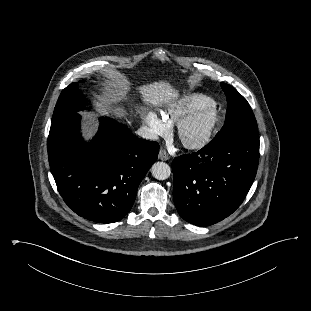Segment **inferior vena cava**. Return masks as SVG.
I'll use <instances>...</instances> for the list:
<instances>
[{
    "instance_id": "inferior-vena-cava-1",
    "label": "inferior vena cava",
    "mask_w": 311,
    "mask_h": 311,
    "mask_svg": "<svg viewBox=\"0 0 311 311\" xmlns=\"http://www.w3.org/2000/svg\"><path fill=\"white\" fill-rule=\"evenodd\" d=\"M136 134L139 135L140 137L148 140H156L157 135L153 133V131L148 128L147 126H142L140 127L137 131Z\"/></svg>"
}]
</instances>
